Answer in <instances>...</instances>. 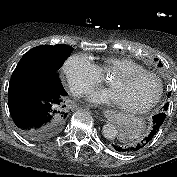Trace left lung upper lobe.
Returning <instances> with one entry per match:
<instances>
[{
	"instance_id": "5c2ea615",
	"label": "left lung upper lobe",
	"mask_w": 177,
	"mask_h": 177,
	"mask_svg": "<svg viewBox=\"0 0 177 177\" xmlns=\"http://www.w3.org/2000/svg\"><path fill=\"white\" fill-rule=\"evenodd\" d=\"M168 108V103L165 104V106L163 107V111L167 110Z\"/></svg>"
}]
</instances>
